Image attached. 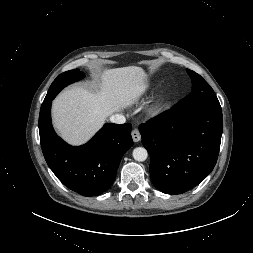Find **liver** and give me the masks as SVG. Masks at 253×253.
I'll return each instance as SVG.
<instances>
[{"instance_id":"1","label":"liver","mask_w":253,"mask_h":253,"mask_svg":"<svg viewBox=\"0 0 253 253\" xmlns=\"http://www.w3.org/2000/svg\"><path fill=\"white\" fill-rule=\"evenodd\" d=\"M147 75L137 66L105 70L94 90L73 86L53 101V124L72 145L86 143L107 118L134 104L147 88Z\"/></svg>"}]
</instances>
